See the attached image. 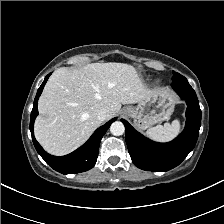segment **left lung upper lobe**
<instances>
[{"label":"left lung upper lobe","mask_w":224,"mask_h":224,"mask_svg":"<svg viewBox=\"0 0 224 224\" xmlns=\"http://www.w3.org/2000/svg\"><path fill=\"white\" fill-rule=\"evenodd\" d=\"M182 78H183L182 75H180L179 73L173 72L172 81H177V80H180Z\"/></svg>","instance_id":"5c2ea615"}]
</instances>
